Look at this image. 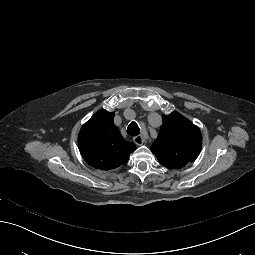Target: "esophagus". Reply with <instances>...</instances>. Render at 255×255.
Returning <instances> with one entry per match:
<instances>
[{"mask_svg":"<svg viewBox=\"0 0 255 255\" xmlns=\"http://www.w3.org/2000/svg\"><path fill=\"white\" fill-rule=\"evenodd\" d=\"M135 144L141 146L144 143V139L141 135H137L133 138Z\"/></svg>","mask_w":255,"mask_h":255,"instance_id":"1","label":"esophagus"}]
</instances>
